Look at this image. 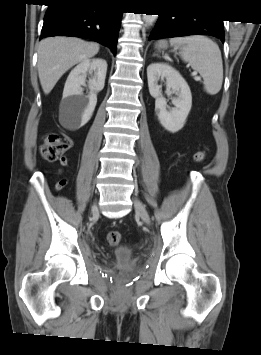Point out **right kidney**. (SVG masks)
<instances>
[{
    "label": "right kidney",
    "mask_w": 261,
    "mask_h": 355,
    "mask_svg": "<svg viewBox=\"0 0 261 355\" xmlns=\"http://www.w3.org/2000/svg\"><path fill=\"white\" fill-rule=\"evenodd\" d=\"M107 62L102 58L87 59L78 64L69 74L60 104V115L67 127L81 128L91 118L97 103V93L104 88ZM87 73H93L89 79L90 92L83 95Z\"/></svg>",
    "instance_id": "1"
}]
</instances>
